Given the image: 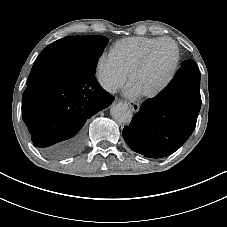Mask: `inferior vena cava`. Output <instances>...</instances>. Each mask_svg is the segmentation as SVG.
Wrapping results in <instances>:
<instances>
[{"instance_id": "inferior-vena-cava-1", "label": "inferior vena cava", "mask_w": 227, "mask_h": 227, "mask_svg": "<svg viewBox=\"0 0 227 227\" xmlns=\"http://www.w3.org/2000/svg\"><path fill=\"white\" fill-rule=\"evenodd\" d=\"M100 84L109 93H116L117 92V87L107 80H101Z\"/></svg>"}]
</instances>
